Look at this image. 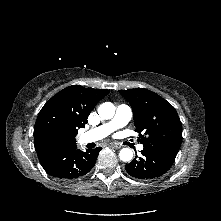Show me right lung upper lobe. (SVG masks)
Instances as JSON below:
<instances>
[{"mask_svg":"<svg viewBox=\"0 0 221 221\" xmlns=\"http://www.w3.org/2000/svg\"><path fill=\"white\" fill-rule=\"evenodd\" d=\"M108 93L105 89L84 88L80 85H72L58 92L38 114L34 126L35 147H40L38 134L46 126H58L78 132L87 123L95 105Z\"/></svg>","mask_w":221,"mask_h":221,"instance_id":"cb5924a9","label":"right lung upper lobe"}]
</instances>
